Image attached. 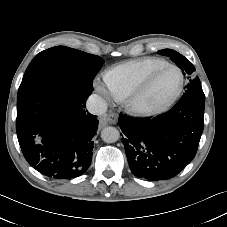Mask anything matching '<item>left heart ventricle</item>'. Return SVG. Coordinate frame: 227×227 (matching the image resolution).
<instances>
[{
	"label": "left heart ventricle",
	"instance_id": "left-heart-ventricle-1",
	"mask_svg": "<svg viewBox=\"0 0 227 227\" xmlns=\"http://www.w3.org/2000/svg\"><path fill=\"white\" fill-rule=\"evenodd\" d=\"M179 84V74L175 69H167L153 82L149 90L140 99L144 107H153L168 99Z\"/></svg>",
	"mask_w": 227,
	"mask_h": 227
}]
</instances>
